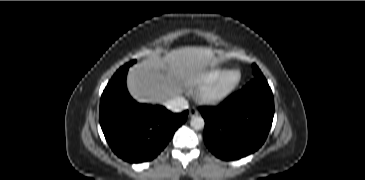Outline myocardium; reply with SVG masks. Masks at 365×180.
<instances>
[{
  "mask_svg": "<svg viewBox=\"0 0 365 180\" xmlns=\"http://www.w3.org/2000/svg\"><path fill=\"white\" fill-rule=\"evenodd\" d=\"M235 75V80L226 85H222L225 79ZM242 80V74L238 69H227L220 73L215 79L205 85L200 93L199 99L207 105H217L228 100L238 88Z\"/></svg>",
  "mask_w": 365,
  "mask_h": 180,
  "instance_id": "f54148a6",
  "label": "myocardium"
}]
</instances>
